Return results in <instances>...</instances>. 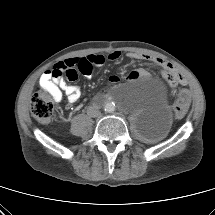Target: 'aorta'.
Listing matches in <instances>:
<instances>
[{"mask_svg": "<svg viewBox=\"0 0 215 215\" xmlns=\"http://www.w3.org/2000/svg\"><path fill=\"white\" fill-rule=\"evenodd\" d=\"M104 110L107 113H112L115 110V104L113 102H108L104 106Z\"/></svg>", "mask_w": 215, "mask_h": 215, "instance_id": "obj_1", "label": "aorta"}]
</instances>
